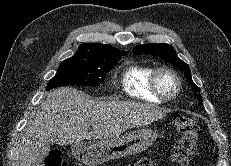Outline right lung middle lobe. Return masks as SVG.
Segmentation results:
<instances>
[{
  "mask_svg": "<svg viewBox=\"0 0 231 166\" xmlns=\"http://www.w3.org/2000/svg\"><path fill=\"white\" fill-rule=\"evenodd\" d=\"M126 53L106 55L100 58L73 56L64 60L46 90L67 85L99 86L108 71Z\"/></svg>",
  "mask_w": 231,
  "mask_h": 166,
  "instance_id": "1",
  "label": "right lung middle lobe"
}]
</instances>
